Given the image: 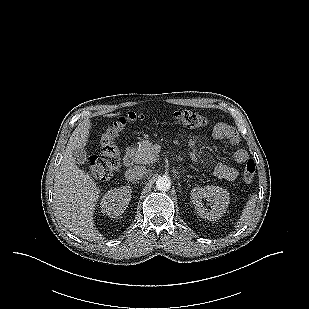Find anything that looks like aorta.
I'll list each match as a JSON object with an SVG mask.
<instances>
[{"instance_id":"1","label":"aorta","mask_w":309,"mask_h":309,"mask_svg":"<svg viewBox=\"0 0 309 309\" xmlns=\"http://www.w3.org/2000/svg\"><path fill=\"white\" fill-rule=\"evenodd\" d=\"M156 188L159 191H168L171 188V180L167 176L159 177L156 181Z\"/></svg>"}]
</instances>
